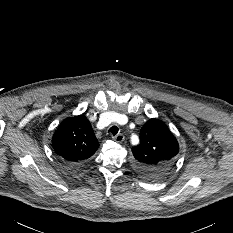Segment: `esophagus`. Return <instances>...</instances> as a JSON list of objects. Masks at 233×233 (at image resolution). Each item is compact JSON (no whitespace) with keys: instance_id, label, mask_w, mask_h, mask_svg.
Instances as JSON below:
<instances>
[{"instance_id":"1","label":"esophagus","mask_w":233,"mask_h":233,"mask_svg":"<svg viewBox=\"0 0 233 233\" xmlns=\"http://www.w3.org/2000/svg\"><path fill=\"white\" fill-rule=\"evenodd\" d=\"M112 138H113L116 142L122 143L123 140H124V135L121 134V133H119V134L113 136Z\"/></svg>"}]
</instances>
